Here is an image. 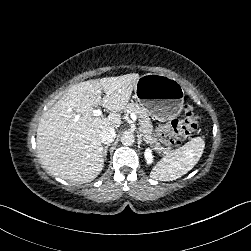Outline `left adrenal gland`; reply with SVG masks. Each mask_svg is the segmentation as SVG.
I'll return each mask as SVG.
<instances>
[{
	"mask_svg": "<svg viewBox=\"0 0 251 251\" xmlns=\"http://www.w3.org/2000/svg\"><path fill=\"white\" fill-rule=\"evenodd\" d=\"M142 140H143L142 139V134L141 133H137V144H138V147H140Z\"/></svg>",
	"mask_w": 251,
	"mask_h": 251,
	"instance_id": "a2214340",
	"label": "left adrenal gland"
}]
</instances>
